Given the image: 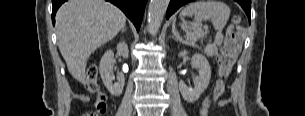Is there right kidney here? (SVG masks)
I'll return each mask as SVG.
<instances>
[{
    "instance_id": "obj_1",
    "label": "right kidney",
    "mask_w": 305,
    "mask_h": 116,
    "mask_svg": "<svg viewBox=\"0 0 305 116\" xmlns=\"http://www.w3.org/2000/svg\"><path fill=\"white\" fill-rule=\"evenodd\" d=\"M117 52L122 55V57L128 58L129 50L127 44L124 41L118 43ZM113 62L114 53L112 50H107L100 61V75L104 85L106 86L110 94L113 96H119L123 91L125 77L122 73H120L117 76V83H112L114 79L112 75L114 68Z\"/></svg>"
}]
</instances>
